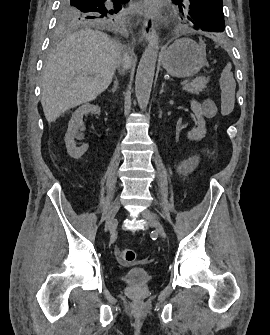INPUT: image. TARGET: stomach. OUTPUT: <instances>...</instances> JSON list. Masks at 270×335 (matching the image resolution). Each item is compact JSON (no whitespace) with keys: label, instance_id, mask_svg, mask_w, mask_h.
<instances>
[{"label":"stomach","instance_id":"stomach-1","mask_svg":"<svg viewBox=\"0 0 270 335\" xmlns=\"http://www.w3.org/2000/svg\"><path fill=\"white\" fill-rule=\"evenodd\" d=\"M205 48L203 42L196 44L191 38L175 40L174 44L162 52L163 68L176 78L193 76L203 66H208Z\"/></svg>","mask_w":270,"mask_h":335}]
</instances>
